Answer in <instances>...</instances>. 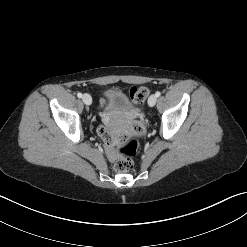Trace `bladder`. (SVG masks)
Wrapping results in <instances>:
<instances>
[{
  "instance_id": "31cf9c89",
  "label": "bladder",
  "mask_w": 247,
  "mask_h": 247,
  "mask_svg": "<svg viewBox=\"0 0 247 247\" xmlns=\"http://www.w3.org/2000/svg\"><path fill=\"white\" fill-rule=\"evenodd\" d=\"M133 108L134 105L131 99L124 92L119 90H109L106 92V112L129 113L133 110Z\"/></svg>"
}]
</instances>
